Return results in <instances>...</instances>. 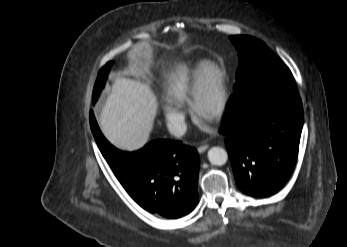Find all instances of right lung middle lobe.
Wrapping results in <instances>:
<instances>
[{
  "mask_svg": "<svg viewBox=\"0 0 347 247\" xmlns=\"http://www.w3.org/2000/svg\"><path fill=\"white\" fill-rule=\"evenodd\" d=\"M113 64L112 61L108 62L99 72L97 80H96V84L94 87V95H93V100L96 101L99 93L101 92V90L103 89L105 80L107 78L108 72H109V67L110 65Z\"/></svg>",
  "mask_w": 347,
  "mask_h": 247,
  "instance_id": "dd1d6c3e",
  "label": "right lung middle lobe"
}]
</instances>
